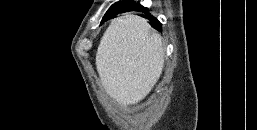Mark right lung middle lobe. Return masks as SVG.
<instances>
[{
    "label": "right lung middle lobe",
    "instance_id": "obj_1",
    "mask_svg": "<svg viewBox=\"0 0 257 130\" xmlns=\"http://www.w3.org/2000/svg\"><path fill=\"white\" fill-rule=\"evenodd\" d=\"M126 4H130V2H127V1L119 2V3L115 4V5H113V6L107 11V13H111V12L115 11L116 9H118L119 7H122V6L126 5ZM107 13H106V14H107ZM106 14H105V15H106Z\"/></svg>",
    "mask_w": 257,
    "mask_h": 130
}]
</instances>
